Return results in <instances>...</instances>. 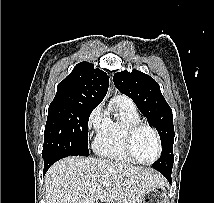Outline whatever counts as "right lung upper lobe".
Listing matches in <instances>:
<instances>
[{
    "label": "right lung upper lobe",
    "mask_w": 214,
    "mask_h": 203,
    "mask_svg": "<svg viewBox=\"0 0 214 203\" xmlns=\"http://www.w3.org/2000/svg\"><path fill=\"white\" fill-rule=\"evenodd\" d=\"M109 78L105 72L94 69L89 62L78 63L57 86L52 102L81 103L97 106L105 97Z\"/></svg>",
    "instance_id": "right-lung-upper-lobe-1"
}]
</instances>
